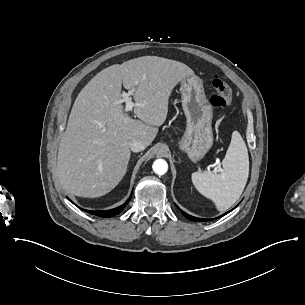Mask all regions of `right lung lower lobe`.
Returning <instances> with one entry per match:
<instances>
[{
    "label": "right lung lower lobe",
    "instance_id": "1",
    "mask_svg": "<svg viewBox=\"0 0 305 305\" xmlns=\"http://www.w3.org/2000/svg\"><path fill=\"white\" fill-rule=\"evenodd\" d=\"M130 198L121 206L111 209V210H107V211H89V210H85L86 212H89L91 214L97 215V216H101V217H112L115 216L117 214H119L124 208L125 205L129 202Z\"/></svg>",
    "mask_w": 305,
    "mask_h": 305
}]
</instances>
